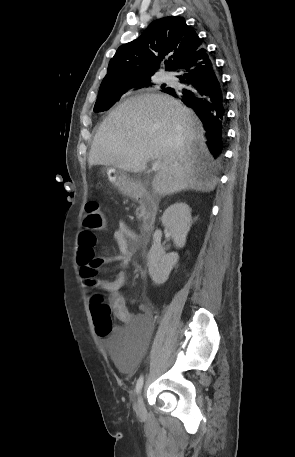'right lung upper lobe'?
Returning <instances> with one entry per match:
<instances>
[{
  "label": "right lung upper lobe",
  "instance_id": "cb5924a9",
  "mask_svg": "<svg viewBox=\"0 0 295 457\" xmlns=\"http://www.w3.org/2000/svg\"><path fill=\"white\" fill-rule=\"evenodd\" d=\"M201 39L185 19L168 16L152 22L136 40L118 48L108 65L100 90L138 86L152 77L165 61V70L174 71L187 56L200 48Z\"/></svg>",
  "mask_w": 295,
  "mask_h": 457
}]
</instances>
